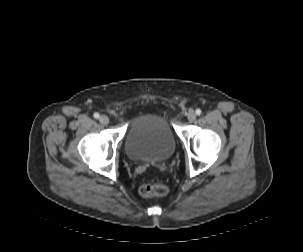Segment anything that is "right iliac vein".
<instances>
[{
	"label": "right iliac vein",
	"mask_w": 303,
	"mask_h": 252,
	"mask_svg": "<svg viewBox=\"0 0 303 252\" xmlns=\"http://www.w3.org/2000/svg\"><path fill=\"white\" fill-rule=\"evenodd\" d=\"M99 121L103 125H107L109 123V118L106 115H102L99 117Z\"/></svg>",
	"instance_id": "obj_1"
}]
</instances>
